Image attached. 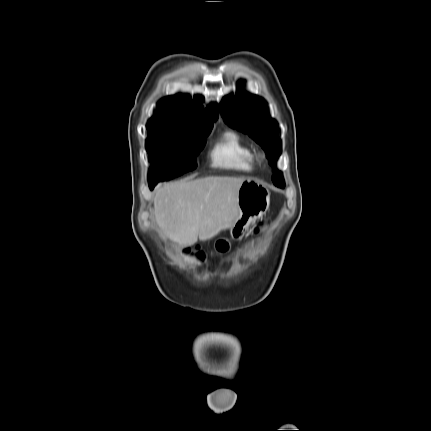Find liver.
Instances as JSON below:
<instances>
[{
	"label": "liver",
	"mask_w": 431,
	"mask_h": 431,
	"mask_svg": "<svg viewBox=\"0 0 431 431\" xmlns=\"http://www.w3.org/2000/svg\"><path fill=\"white\" fill-rule=\"evenodd\" d=\"M244 178L209 176L158 186L154 216L160 233L179 246L207 241L229 229L238 216Z\"/></svg>",
	"instance_id": "6515ba94"
}]
</instances>
